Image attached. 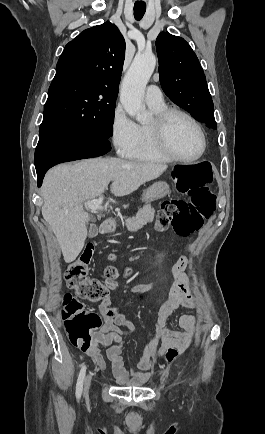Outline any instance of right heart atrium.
Here are the masks:
<instances>
[{"instance_id":"obj_1","label":"right heart atrium","mask_w":265,"mask_h":434,"mask_svg":"<svg viewBox=\"0 0 265 434\" xmlns=\"http://www.w3.org/2000/svg\"><path fill=\"white\" fill-rule=\"evenodd\" d=\"M117 115H111L109 121L111 123V138L112 147L117 148L119 159H128L129 154L134 153V144L138 138L136 132V119L130 118L127 115L126 106H117Z\"/></svg>"}]
</instances>
